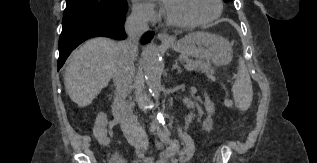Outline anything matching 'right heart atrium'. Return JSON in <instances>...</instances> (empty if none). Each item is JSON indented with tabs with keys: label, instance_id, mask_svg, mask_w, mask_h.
<instances>
[{
	"label": "right heart atrium",
	"instance_id": "obj_1",
	"mask_svg": "<svg viewBox=\"0 0 317 163\" xmlns=\"http://www.w3.org/2000/svg\"><path fill=\"white\" fill-rule=\"evenodd\" d=\"M133 16L143 22L155 23L160 17V11L145 0H133Z\"/></svg>",
	"mask_w": 317,
	"mask_h": 163
}]
</instances>
